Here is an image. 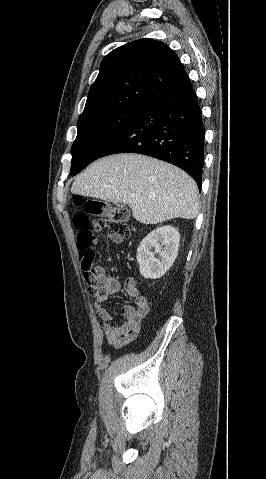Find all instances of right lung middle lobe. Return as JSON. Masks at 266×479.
<instances>
[{
	"mask_svg": "<svg viewBox=\"0 0 266 479\" xmlns=\"http://www.w3.org/2000/svg\"><path fill=\"white\" fill-rule=\"evenodd\" d=\"M142 109L123 108L78 119V133L71 148L72 175L98 159L107 146L134 120Z\"/></svg>",
	"mask_w": 266,
	"mask_h": 479,
	"instance_id": "obj_1",
	"label": "right lung middle lobe"
}]
</instances>
